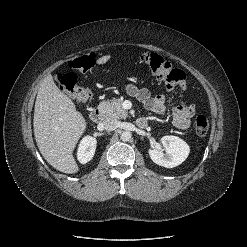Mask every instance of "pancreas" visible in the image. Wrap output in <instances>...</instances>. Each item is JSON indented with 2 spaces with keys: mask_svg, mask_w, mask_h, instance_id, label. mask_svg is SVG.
Returning a JSON list of instances; mask_svg holds the SVG:
<instances>
[{
  "mask_svg": "<svg viewBox=\"0 0 247 247\" xmlns=\"http://www.w3.org/2000/svg\"><path fill=\"white\" fill-rule=\"evenodd\" d=\"M98 109L107 117L115 119H125L127 117V111L122 107V101L120 99L102 101L98 105Z\"/></svg>",
  "mask_w": 247,
  "mask_h": 247,
  "instance_id": "obj_1",
  "label": "pancreas"
}]
</instances>
